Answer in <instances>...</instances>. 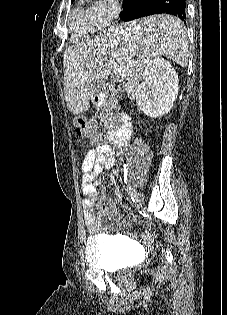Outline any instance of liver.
<instances>
[{"label": "liver", "instance_id": "1", "mask_svg": "<svg viewBox=\"0 0 227 315\" xmlns=\"http://www.w3.org/2000/svg\"><path fill=\"white\" fill-rule=\"evenodd\" d=\"M162 55L182 67L188 65L186 28L179 18L171 15L122 23L86 43L66 49L63 67L67 108L75 115L89 109L91 91L107 83L110 62L126 69V91L134 101L145 66Z\"/></svg>", "mask_w": 227, "mask_h": 315}]
</instances>
